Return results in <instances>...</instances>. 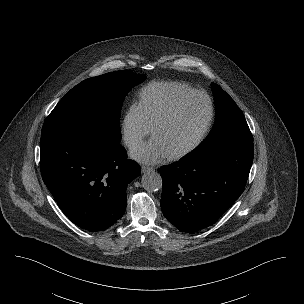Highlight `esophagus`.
I'll use <instances>...</instances> for the list:
<instances>
[{
	"instance_id": "obj_1",
	"label": "esophagus",
	"mask_w": 304,
	"mask_h": 304,
	"mask_svg": "<svg viewBox=\"0 0 304 304\" xmlns=\"http://www.w3.org/2000/svg\"><path fill=\"white\" fill-rule=\"evenodd\" d=\"M153 169H154V168H153V167H150V166H142V167H141L142 173H146V172L152 171Z\"/></svg>"
}]
</instances>
